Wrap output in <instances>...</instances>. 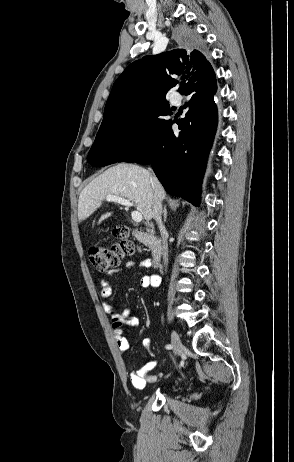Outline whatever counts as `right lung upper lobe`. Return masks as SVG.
I'll return each instance as SVG.
<instances>
[{
  "label": "right lung upper lobe",
  "mask_w": 294,
  "mask_h": 462,
  "mask_svg": "<svg viewBox=\"0 0 294 462\" xmlns=\"http://www.w3.org/2000/svg\"><path fill=\"white\" fill-rule=\"evenodd\" d=\"M187 74V83H181L182 94L192 85L210 76L214 70L204 54L198 50L163 52L156 56H145L131 63L115 81L107 100L104 118L123 112L150 99L165 98L166 93L178 81L172 75Z\"/></svg>",
  "instance_id": "right-lung-upper-lobe-1"
}]
</instances>
